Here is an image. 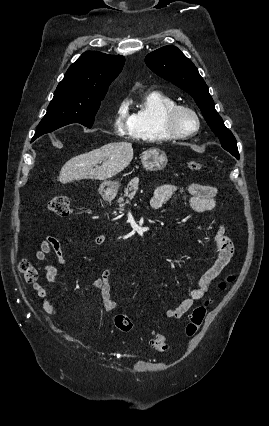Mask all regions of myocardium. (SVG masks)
<instances>
[{
  "mask_svg": "<svg viewBox=\"0 0 269 426\" xmlns=\"http://www.w3.org/2000/svg\"><path fill=\"white\" fill-rule=\"evenodd\" d=\"M182 113H187L194 119L195 127L193 129L188 130L179 126L178 118ZM163 127L172 138H187L193 136L199 131L200 118L196 111L191 107L182 104H175L164 112Z\"/></svg>",
  "mask_w": 269,
  "mask_h": 426,
  "instance_id": "1",
  "label": "myocardium"
}]
</instances>
